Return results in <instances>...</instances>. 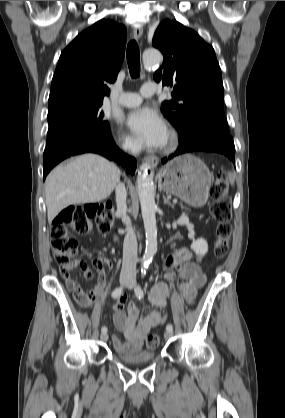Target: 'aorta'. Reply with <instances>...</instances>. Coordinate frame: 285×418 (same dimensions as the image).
Listing matches in <instances>:
<instances>
[{"label": "aorta", "mask_w": 285, "mask_h": 418, "mask_svg": "<svg viewBox=\"0 0 285 418\" xmlns=\"http://www.w3.org/2000/svg\"><path fill=\"white\" fill-rule=\"evenodd\" d=\"M161 59V53L157 50H146L143 53V61L146 68L159 65ZM149 169L150 165L143 163L138 170L137 176V189L146 235V249L142 262L144 270L148 268L157 251L155 187L153 176L148 172Z\"/></svg>", "instance_id": "aorta-1"}]
</instances>
